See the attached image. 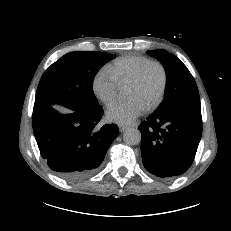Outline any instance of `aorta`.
Masks as SVG:
<instances>
[{
  "instance_id": "762f6f07",
  "label": "aorta",
  "mask_w": 231,
  "mask_h": 231,
  "mask_svg": "<svg viewBox=\"0 0 231 231\" xmlns=\"http://www.w3.org/2000/svg\"><path fill=\"white\" fill-rule=\"evenodd\" d=\"M123 140L127 145H137L141 142V133L137 128H127L123 134Z\"/></svg>"
}]
</instances>
